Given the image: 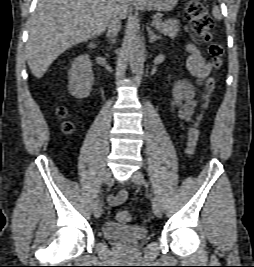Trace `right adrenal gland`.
Masks as SVG:
<instances>
[{
	"mask_svg": "<svg viewBox=\"0 0 254 267\" xmlns=\"http://www.w3.org/2000/svg\"><path fill=\"white\" fill-rule=\"evenodd\" d=\"M114 41H115L114 39H111V42H112V43H114Z\"/></svg>",
	"mask_w": 254,
	"mask_h": 267,
	"instance_id": "obj_1",
	"label": "right adrenal gland"
}]
</instances>
